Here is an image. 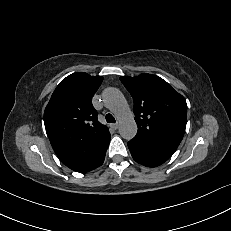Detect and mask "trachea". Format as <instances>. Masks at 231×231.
I'll list each match as a JSON object with an SVG mask.
<instances>
[{
    "label": "trachea",
    "instance_id": "1",
    "mask_svg": "<svg viewBox=\"0 0 231 231\" xmlns=\"http://www.w3.org/2000/svg\"><path fill=\"white\" fill-rule=\"evenodd\" d=\"M106 121L108 122V123H115L116 121H115V118L112 116V114H110V113H108L107 115H106Z\"/></svg>",
    "mask_w": 231,
    "mask_h": 231
}]
</instances>
